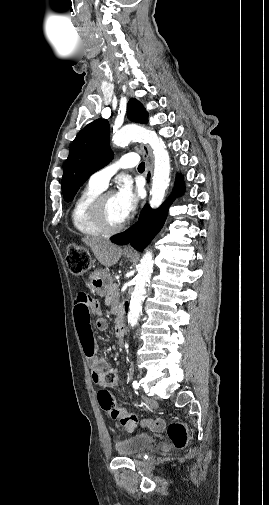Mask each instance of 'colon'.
<instances>
[{"instance_id": "5ec220e1", "label": "colon", "mask_w": 269, "mask_h": 505, "mask_svg": "<svg viewBox=\"0 0 269 505\" xmlns=\"http://www.w3.org/2000/svg\"><path fill=\"white\" fill-rule=\"evenodd\" d=\"M66 261L69 271L74 275L87 272L91 264L89 252L76 243L68 247ZM117 384V371L113 369L104 371L99 379L101 390L98 393V401L104 411L108 412L112 418L118 419L120 429L131 432L136 428L138 418L135 414L127 413L117 406L111 391ZM167 434L176 448L182 449L188 443V430L186 425L181 422H171L167 427Z\"/></svg>"}]
</instances>
